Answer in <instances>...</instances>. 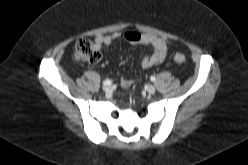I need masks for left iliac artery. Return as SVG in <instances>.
I'll use <instances>...</instances> for the list:
<instances>
[{"label": "left iliac artery", "mask_w": 248, "mask_h": 165, "mask_svg": "<svg viewBox=\"0 0 248 165\" xmlns=\"http://www.w3.org/2000/svg\"><path fill=\"white\" fill-rule=\"evenodd\" d=\"M150 79H151V81H153V82L156 80V78H155L154 76H151Z\"/></svg>", "instance_id": "left-iliac-artery-1"}]
</instances>
